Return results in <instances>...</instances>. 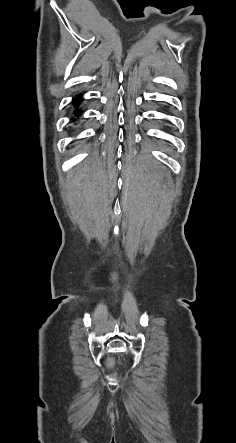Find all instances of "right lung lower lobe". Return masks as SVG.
<instances>
[{"label": "right lung lower lobe", "instance_id": "right-lung-lower-lobe-1", "mask_svg": "<svg viewBox=\"0 0 236 443\" xmlns=\"http://www.w3.org/2000/svg\"><path fill=\"white\" fill-rule=\"evenodd\" d=\"M80 102H81V98L80 97H78L77 100L73 99V104H74L75 107H77L80 104ZM75 113H77V111Z\"/></svg>", "mask_w": 236, "mask_h": 443}]
</instances>
